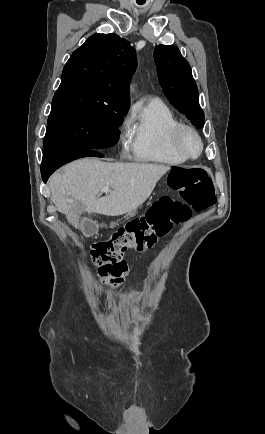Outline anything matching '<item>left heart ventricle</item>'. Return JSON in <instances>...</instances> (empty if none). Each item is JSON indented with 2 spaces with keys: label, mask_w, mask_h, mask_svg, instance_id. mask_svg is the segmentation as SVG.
I'll list each match as a JSON object with an SVG mask.
<instances>
[{
  "label": "left heart ventricle",
  "mask_w": 265,
  "mask_h": 434,
  "mask_svg": "<svg viewBox=\"0 0 265 434\" xmlns=\"http://www.w3.org/2000/svg\"><path fill=\"white\" fill-rule=\"evenodd\" d=\"M184 152L189 156H196L199 153V144L193 136H186L182 141Z\"/></svg>",
  "instance_id": "left-heart-ventricle-1"
}]
</instances>
